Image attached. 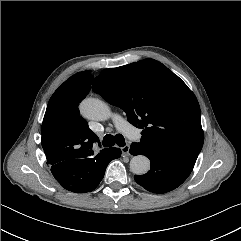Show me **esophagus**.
<instances>
[{
    "mask_svg": "<svg viewBox=\"0 0 241 241\" xmlns=\"http://www.w3.org/2000/svg\"><path fill=\"white\" fill-rule=\"evenodd\" d=\"M130 146L129 145H125L121 148V152L123 155L125 156H129L130 155Z\"/></svg>",
    "mask_w": 241,
    "mask_h": 241,
    "instance_id": "esophagus-1",
    "label": "esophagus"
}]
</instances>
